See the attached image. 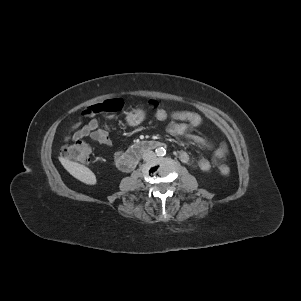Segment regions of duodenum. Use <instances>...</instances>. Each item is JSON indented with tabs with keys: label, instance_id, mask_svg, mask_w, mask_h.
Here are the masks:
<instances>
[{
	"label": "duodenum",
	"instance_id": "obj_1",
	"mask_svg": "<svg viewBox=\"0 0 301 301\" xmlns=\"http://www.w3.org/2000/svg\"><path fill=\"white\" fill-rule=\"evenodd\" d=\"M163 145L164 144L162 142L155 140H147L135 144L127 152L124 153V156L120 163L121 170H132L136 166L140 156L144 152L162 147Z\"/></svg>",
	"mask_w": 301,
	"mask_h": 301
}]
</instances>
